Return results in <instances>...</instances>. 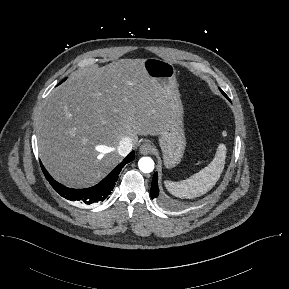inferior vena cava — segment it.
<instances>
[{
	"label": "inferior vena cava",
	"instance_id": "inferior-vena-cava-1",
	"mask_svg": "<svg viewBox=\"0 0 289 289\" xmlns=\"http://www.w3.org/2000/svg\"><path fill=\"white\" fill-rule=\"evenodd\" d=\"M133 144L129 137H124L120 140L117 151L121 156H126L132 150Z\"/></svg>",
	"mask_w": 289,
	"mask_h": 289
}]
</instances>
